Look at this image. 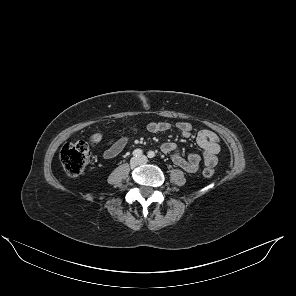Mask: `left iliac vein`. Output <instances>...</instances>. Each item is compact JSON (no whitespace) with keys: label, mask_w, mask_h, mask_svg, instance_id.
<instances>
[{"label":"left iliac vein","mask_w":296,"mask_h":296,"mask_svg":"<svg viewBox=\"0 0 296 296\" xmlns=\"http://www.w3.org/2000/svg\"><path fill=\"white\" fill-rule=\"evenodd\" d=\"M140 159H141L142 163L146 162V157L145 156H141Z\"/></svg>","instance_id":"obj_1"}]
</instances>
